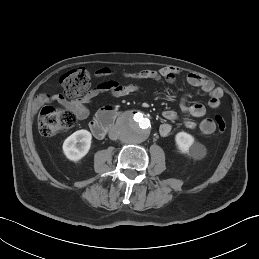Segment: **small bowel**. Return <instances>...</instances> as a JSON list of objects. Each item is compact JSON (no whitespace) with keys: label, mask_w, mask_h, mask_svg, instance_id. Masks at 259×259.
<instances>
[{"label":"small bowel","mask_w":259,"mask_h":259,"mask_svg":"<svg viewBox=\"0 0 259 259\" xmlns=\"http://www.w3.org/2000/svg\"><path fill=\"white\" fill-rule=\"evenodd\" d=\"M115 70L109 67L101 68L97 71V76L100 78L113 75ZM180 73L177 67H164L159 70H141L137 72H122V76L131 80H151L160 81L163 80L169 84L176 82L177 75ZM186 82L193 86L200 88L209 95L208 105L212 109H217L221 105V98L223 96V90L220 87H216L214 83L202 76L196 74H188ZM137 90V85L122 84L115 79H107L100 82L95 87L88 90L83 96L78 99L69 100L61 94H39L34 100L33 107L37 109L43 104L57 102L66 109L72 111L78 119H86L89 116L88 105L95 99L109 95L112 97H124ZM180 111L184 114L190 115L195 118L203 117L206 114V107L202 103L188 102L187 95H184L179 103ZM163 118L167 122H173L177 119V113L174 110H164L162 113ZM184 125L189 129H195L197 123L193 120H185ZM199 129L206 135L213 134L216 130L215 123L212 119L205 118L199 123ZM172 126L170 123H164L159 128V133L162 136L170 134Z\"/></svg>","instance_id":"small-bowel-1"}]
</instances>
